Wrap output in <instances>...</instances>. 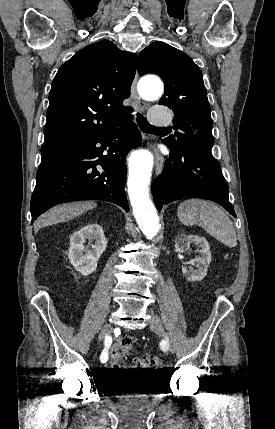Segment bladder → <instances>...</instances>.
I'll return each instance as SVG.
<instances>
[{
	"label": "bladder",
	"instance_id": "1",
	"mask_svg": "<svg viewBox=\"0 0 275 429\" xmlns=\"http://www.w3.org/2000/svg\"><path fill=\"white\" fill-rule=\"evenodd\" d=\"M106 398H116L117 403H146L155 398L158 384L154 377H106Z\"/></svg>",
	"mask_w": 275,
	"mask_h": 429
}]
</instances>
